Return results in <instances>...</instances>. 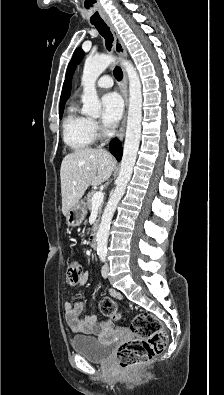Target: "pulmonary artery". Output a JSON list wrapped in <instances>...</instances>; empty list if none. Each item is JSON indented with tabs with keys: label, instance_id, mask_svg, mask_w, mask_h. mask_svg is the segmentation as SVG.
Returning <instances> with one entry per match:
<instances>
[{
	"label": "pulmonary artery",
	"instance_id": "pulmonary-artery-1",
	"mask_svg": "<svg viewBox=\"0 0 224 395\" xmlns=\"http://www.w3.org/2000/svg\"><path fill=\"white\" fill-rule=\"evenodd\" d=\"M99 88H110L113 86V80L109 75L101 76L97 81Z\"/></svg>",
	"mask_w": 224,
	"mask_h": 395
}]
</instances>
